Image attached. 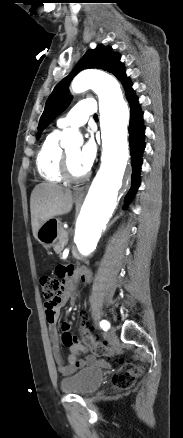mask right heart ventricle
Listing matches in <instances>:
<instances>
[{
	"instance_id": "1",
	"label": "right heart ventricle",
	"mask_w": 183,
	"mask_h": 438,
	"mask_svg": "<svg viewBox=\"0 0 183 438\" xmlns=\"http://www.w3.org/2000/svg\"><path fill=\"white\" fill-rule=\"evenodd\" d=\"M61 133L54 131L43 141L36 158L39 174L52 183H61L63 178L60 173L62 147L59 144Z\"/></svg>"
}]
</instances>
